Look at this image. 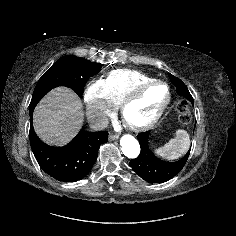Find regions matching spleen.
<instances>
[{
	"label": "spleen",
	"mask_w": 236,
	"mask_h": 236,
	"mask_svg": "<svg viewBox=\"0 0 236 236\" xmlns=\"http://www.w3.org/2000/svg\"><path fill=\"white\" fill-rule=\"evenodd\" d=\"M190 147V138L187 131L179 129L176 136L167 142L164 146L155 149L157 156L166 160H175L185 154Z\"/></svg>",
	"instance_id": "spleen-1"
}]
</instances>
